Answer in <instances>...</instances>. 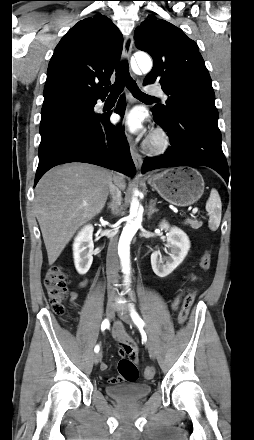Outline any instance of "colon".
I'll return each mask as SVG.
<instances>
[{"instance_id":"5ec220e1","label":"colon","mask_w":254,"mask_h":440,"mask_svg":"<svg viewBox=\"0 0 254 440\" xmlns=\"http://www.w3.org/2000/svg\"><path fill=\"white\" fill-rule=\"evenodd\" d=\"M211 263L212 255L209 251H206L200 260V268L203 271H207L211 267ZM67 279V273L58 265L50 267L44 277V287L52 309L59 315L64 313V302L68 298ZM194 299V291H190L185 295L178 316L180 324H184L187 321ZM118 370L123 381L133 383L138 380L139 371L135 361L132 359H121L118 363ZM144 376L146 379H152L154 376V369L152 367H147L144 371Z\"/></svg>"}]
</instances>
